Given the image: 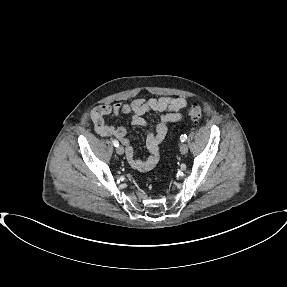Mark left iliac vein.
I'll return each instance as SVG.
<instances>
[{"mask_svg": "<svg viewBox=\"0 0 287 287\" xmlns=\"http://www.w3.org/2000/svg\"><path fill=\"white\" fill-rule=\"evenodd\" d=\"M180 152L181 154H186L188 152V146L186 144H181L180 145Z\"/></svg>", "mask_w": 287, "mask_h": 287, "instance_id": "left-iliac-vein-1", "label": "left iliac vein"}]
</instances>
